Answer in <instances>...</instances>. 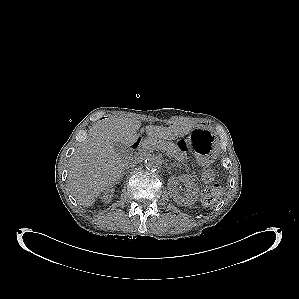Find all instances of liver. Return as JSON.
Masks as SVG:
<instances>
[{
    "label": "liver",
    "mask_w": 299,
    "mask_h": 299,
    "mask_svg": "<svg viewBox=\"0 0 299 299\" xmlns=\"http://www.w3.org/2000/svg\"><path fill=\"white\" fill-rule=\"evenodd\" d=\"M141 122L132 118H106L94 124L81 148L70 158L68 188L78 203L89 207L102 190L121 177L127 160L117 154L114 144L130 147L139 138ZM146 134L154 139L175 140L189 132L179 125H148Z\"/></svg>",
    "instance_id": "obj_1"
}]
</instances>
